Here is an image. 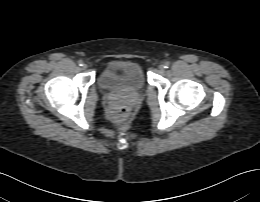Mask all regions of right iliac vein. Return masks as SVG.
Returning a JSON list of instances; mask_svg holds the SVG:
<instances>
[{
	"instance_id": "obj_1",
	"label": "right iliac vein",
	"mask_w": 260,
	"mask_h": 202,
	"mask_svg": "<svg viewBox=\"0 0 260 202\" xmlns=\"http://www.w3.org/2000/svg\"><path fill=\"white\" fill-rule=\"evenodd\" d=\"M88 65L87 64H83L82 68L85 70L87 69Z\"/></svg>"
}]
</instances>
